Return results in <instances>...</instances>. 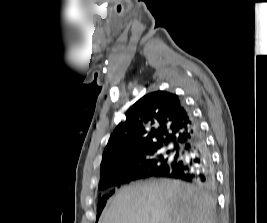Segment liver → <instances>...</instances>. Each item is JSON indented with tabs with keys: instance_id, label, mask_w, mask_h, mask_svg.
Here are the masks:
<instances>
[{
	"instance_id": "1",
	"label": "liver",
	"mask_w": 267,
	"mask_h": 223,
	"mask_svg": "<svg viewBox=\"0 0 267 223\" xmlns=\"http://www.w3.org/2000/svg\"><path fill=\"white\" fill-rule=\"evenodd\" d=\"M215 200L178 180L154 179L120 189L101 223H215Z\"/></svg>"
}]
</instances>
